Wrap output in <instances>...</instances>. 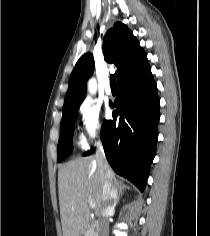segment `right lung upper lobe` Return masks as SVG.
<instances>
[{
	"instance_id": "right-lung-upper-lobe-1",
	"label": "right lung upper lobe",
	"mask_w": 210,
	"mask_h": 236,
	"mask_svg": "<svg viewBox=\"0 0 210 236\" xmlns=\"http://www.w3.org/2000/svg\"><path fill=\"white\" fill-rule=\"evenodd\" d=\"M105 60L117 66V82L148 63L147 55L126 25L117 22L104 37ZM94 70L91 53L84 54L70 76L63 112L78 109L86 94V82Z\"/></svg>"
}]
</instances>
